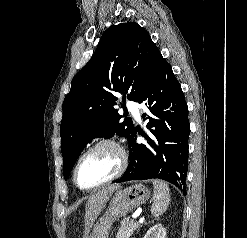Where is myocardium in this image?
Masks as SVG:
<instances>
[{
  "label": "myocardium",
  "mask_w": 247,
  "mask_h": 238,
  "mask_svg": "<svg viewBox=\"0 0 247 238\" xmlns=\"http://www.w3.org/2000/svg\"><path fill=\"white\" fill-rule=\"evenodd\" d=\"M104 146L111 147L118 153L119 159H120V164H119L118 170L111 177H109L108 179H106V180H104V181H102L96 185H93L90 187L81 186L77 180V171H78L80 163L91 152L97 150L100 147H104ZM127 166H128V155H127L125 149L116 140H114L112 138H102V139L96 141L90 147H88L78 157V159L74 165V168H73L72 179H73V182L77 188H79L80 190H83V191H90V190H94V189H97L99 187H102L106 184H109V183L113 182L114 180L118 179L119 177H121L123 175V173L126 171Z\"/></svg>",
  "instance_id": "obj_1"
}]
</instances>
